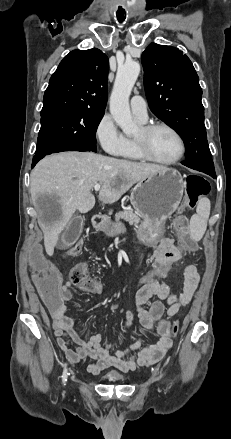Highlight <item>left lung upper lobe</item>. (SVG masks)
I'll return each instance as SVG.
<instances>
[{
	"instance_id": "5c2ea615",
	"label": "left lung upper lobe",
	"mask_w": 231,
	"mask_h": 439,
	"mask_svg": "<svg viewBox=\"0 0 231 439\" xmlns=\"http://www.w3.org/2000/svg\"><path fill=\"white\" fill-rule=\"evenodd\" d=\"M144 86L151 111L182 137L183 165L214 173L204 124L202 89L190 59L178 48L151 43L142 54Z\"/></svg>"
}]
</instances>
